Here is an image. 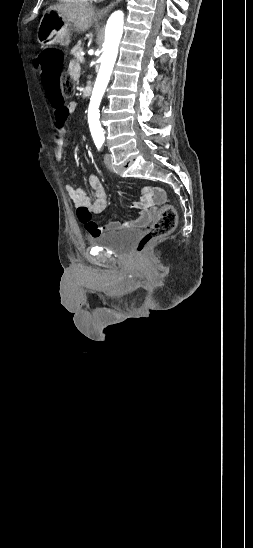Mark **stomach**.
Listing matches in <instances>:
<instances>
[{
  "mask_svg": "<svg viewBox=\"0 0 253 548\" xmlns=\"http://www.w3.org/2000/svg\"><path fill=\"white\" fill-rule=\"evenodd\" d=\"M71 33L68 22L55 11L44 12L37 33L38 43L42 48L54 45L68 46L71 42Z\"/></svg>",
  "mask_w": 253,
  "mask_h": 548,
  "instance_id": "0dacf381",
  "label": "stomach"
}]
</instances>
